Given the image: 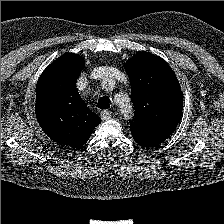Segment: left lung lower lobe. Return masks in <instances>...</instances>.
<instances>
[{
    "label": "left lung lower lobe",
    "instance_id": "left-lung-lower-lobe-1",
    "mask_svg": "<svg viewBox=\"0 0 224 224\" xmlns=\"http://www.w3.org/2000/svg\"><path fill=\"white\" fill-rule=\"evenodd\" d=\"M131 134H132L134 140L136 141V143H138L139 145L146 146V147L156 146V145H154V141L148 139L146 136H144L141 133L131 132Z\"/></svg>",
    "mask_w": 224,
    "mask_h": 224
}]
</instances>
